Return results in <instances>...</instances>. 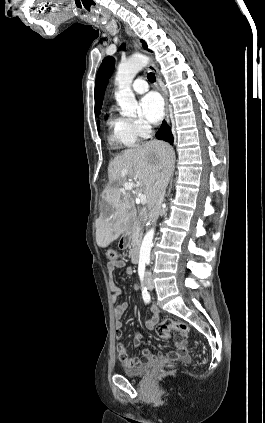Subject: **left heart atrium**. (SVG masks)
<instances>
[{
	"label": "left heart atrium",
	"mask_w": 265,
	"mask_h": 423,
	"mask_svg": "<svg viewBox=\"0 0 265 423\" xmlns=\"http://www.w3.org/2000/svg\"><path fill=\"white\" fill-rule=\"evenodd\" d=\"M142 117L149 123H158L164 115V103L161 97L154 93H148L140 100Z\"/></svg>",
	"instance_id": "39dd6f15"
}]
</instances>
